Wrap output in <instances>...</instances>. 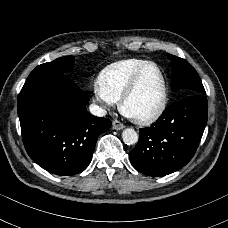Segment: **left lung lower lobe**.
<instances>
[{
    "label": "left lung lower lobe",
    "mask_w": 228,
    "mask_h": 228,
    "mask_svg": "<svg viewBox=\"0 0 228 228\" xmlns=\"http://www.w3.org/2000/svg\"><path fill=\"white\" fill-rule=\"evenodd\" d=\"M205 95H191L164 110L157 122L140 129L129 158L148 176H165L185 166L195 154L207 123Z\"/></svg>",
    "instance_id": "1"
}]
</instances>
